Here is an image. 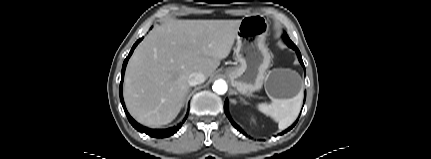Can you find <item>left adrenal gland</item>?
Returning <instances> with one entry per match:
<instances>
[{
	"mask_svg": "<svg viewBox=\"0 0 431 159\" xmlns=\"http://www.w3.org/2000/svg\"><path fill=\"white\" fill-rule=\"evenodd\" d=\"M241 100H242L245 104H247V103L244 101V99H242V98H241Z\"/></svg>",
	"mask_w": 431,
	"mask_h": 159,
	"instance_id": "obj_1",
	"label": "left adrenal gland"
}]
</instances>
